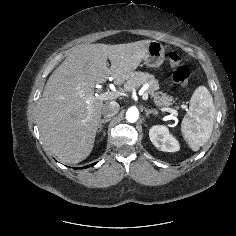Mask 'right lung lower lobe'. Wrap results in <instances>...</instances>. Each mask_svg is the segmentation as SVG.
<instances>
[{
    "instance_id": "98d812e1",
    "label": "right lung lower lobe",
    "mask_w": 236,
    "mask_h": 236,
    "mask_svg": "<svg viewBox=\"0 0 236 236\" xmlns=\"http://www.w3.org/2000/svg\"><path fill=\"white\" fill-rule=\"evenodd\" d=\"M96 163H93V164H90V165H88V166H85L84 168H87V167H90V166H93V165H95ZM82 169V168H81Z\"/></svg>"
}]
</instances>
